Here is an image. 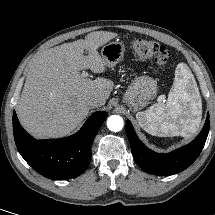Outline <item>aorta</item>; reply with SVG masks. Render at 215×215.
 <instances>
[{
  "label": "aorta",
  "mask_w": 215,
  "mask_h": 215,
  "mask_svg": "<svg viewBox=\"0 0 215 215\" xmlns=\"http://www.w3.org/2000/svg\"><path fill=\"white\" fill-rule=\"evenodd\" d=\"M123 119L119 115H112L107 120V127L113 132H118L123 128Z\"/></svg>",
  "instance_id": "762f6f07"
}]
</instances>
